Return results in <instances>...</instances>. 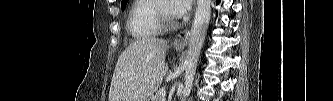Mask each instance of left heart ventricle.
<instances>
[{"label": "left heart ventricle", "mask_w": 333, "mask_h": 101, "mask_svg": "<svg viewBox=\"0 0 333 101\" xmlns=\"http://www.w3.org/2000/svg\"><path fill=\"white\" fill-rule=\"evenodd\" d=\"M167 4V2H165V9H166V11L169 13V11H168V6L166 5ZM170 14V13H169Z\"/></svg>", "instance_id": "1"}]
</instances>
